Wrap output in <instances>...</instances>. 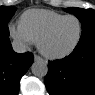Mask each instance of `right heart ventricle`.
Instances as JSON below:
<instances>
[{
  "mask_svg": "<svg viewBox=\"0 0 95 95\" xmlns=\"http://www.w3.org/2000/svg\"><path fill=\"white\" fill-rule=\"evenodd\" d=\"M63 16L65 15L52 10L30 9L22 14L20 25L33 42H37L42 33Z\"/></svg>",
  "mask_w": 95,
  "mask_h": 95,
  "instance_id": "obj_1",
  "label": "right heart ventricle"
}]
</instances>
